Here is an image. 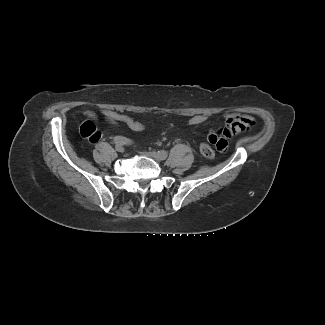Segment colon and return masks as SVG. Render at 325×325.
<instances>
[{
    "instance_id": "colon-1",
    "label": "colon",
    "mask_w": 325,
    "mask_h": 325,
    "mask_svg": "<svg viewBox=\"0 0 325 325\" xmlns=\"http://www.w3.org/2000/svg\"><path fill=\"white\" fill-rule=\"evenodd\" d=\"M80 133L91 143H96L101 138V133L97 130L96 126L90 121H86L81 125ZM200 153L208 159L214 157V150L207 143H202L200 145Z\"/></svg>"
}]
</instances>
